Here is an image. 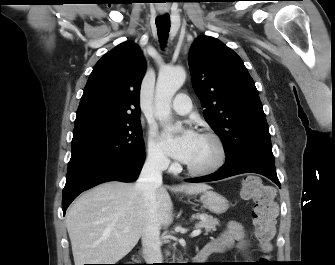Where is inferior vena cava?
<instances>
[{
	"mask_svg": "<svg viewBox=\"0 0 335 265\" xmlns=\"http://www.w3.org/2000/svg\"><path fill=\"white\" fill-rule=\"evenodd\" d=\"M168 161L160 154L149 155L135 184L142 192L146 207V218L142 233V247L145 260L149 263H162L160 223L156 215V190L162 185V171Z\"/></svg>",
	"mask_w": 335,
	"mask_h": 265,
	"instance_id": "1",
	"label": "inferior vena cava"
}]
</instances>
